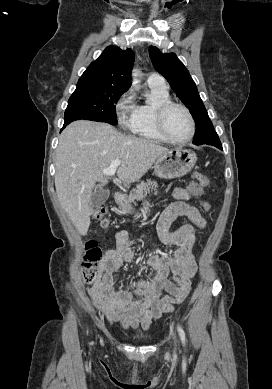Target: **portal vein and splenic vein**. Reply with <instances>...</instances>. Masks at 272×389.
Listing matches in <instances>:
<instances>
[{"instance_id":"18ae733b","label":"portal vein and splenic vein","mask_w":272,"mask_h":389,"mask_svg":"<svg viewBox=\"0 0 272 389\" xmlns=\"http://www.w3.org/2000/svg\"><path fill=\"white\" fill-rule=\"evenodd\" d=\"M121 164V160L120 159H116L114 160L110 167H108L107 169H104L103 170V174L107 175V176H112L115 174L118 166Z\"/></svg>"}]
</instances>
